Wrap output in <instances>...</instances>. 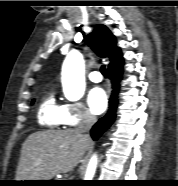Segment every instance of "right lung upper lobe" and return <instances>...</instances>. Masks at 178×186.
<instances>
[{
	"mask_svg": "<svg viewBox=\"0 0 178 186\" xmlns=\"http://www.w3.org/2000/svg\"><path fill=\"white\" fill-rule=\"evenodd\" d=\"M86 43L98 56L109 58L108 68L123 64L122 53L120 48L117 47L116 38L105 25H96L94 31L88 35Z\"/></svg>",
	"mask_w": 178,
	"mask_h": 186,
	"instance_id": "obj_1",
	"label": "right lung upper lobe"
}]
</instances>
